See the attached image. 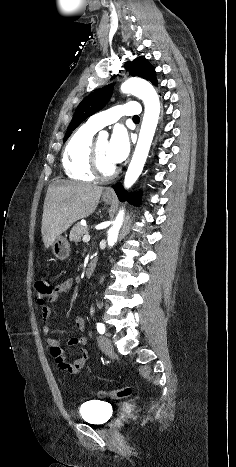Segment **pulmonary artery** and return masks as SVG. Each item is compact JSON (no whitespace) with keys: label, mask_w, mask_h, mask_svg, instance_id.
Segmentation results:
<instances>
[{"label":"pulmonary artery","mask_w":236,"mask_h":467,"mask_svg":"<svg viewBox=\"0 0 236 467\" xmlns=\"http://www.w3.org/2000/svg\"><path fill=\"white\" fill-rule=\"evenodd\" d=\"M139 112L140 109L137 103H124L91 116L86 125L99 130L108 124L116 122L121 116H136Z\"/></svg>","instance_id":"obj_1"}]
</instances>
